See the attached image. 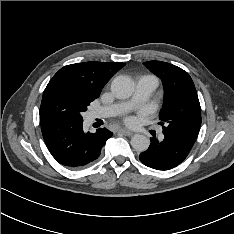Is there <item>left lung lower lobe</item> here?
Segmentation results:
<instances>
[{"label": "left lung lower lobe", "instance_id": "0a47b994", "mask_svg": "<svg viewBox=\"0 0 234 234\" xmlns=\"http://www.w3.org/2000/svg\"><path fill=\"white\" fill-rule=\"evenodd\" d=\"M163 134L162 141H158L156 137L150 138L149 148L139 155L144 165L156 170L176 167L185 160L192 148L173 134Z\"/></svg>", "mask_w": 234, "mask_h": 234}]
</instances>
